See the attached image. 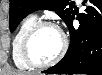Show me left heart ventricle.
Listing matches in <instances>:
<instances>
[{
	"mask_svg": "<svg viewBox=\"0 0 102 75\" xmlns=\"http://www.w3.org/2000/svg\"><path fill=\"white\" fill-rule=\"evenodd\" d=\"M62 38L53 27L42 28L33 38L30 50L34 58L40 62L52 60L60 51Z\"/></svg>",
	"mask_w": 102,
	"mask_h": 75,
	"instance_id": "obj_1",
	"label": "left heart ventricle"
}]
</instances>
